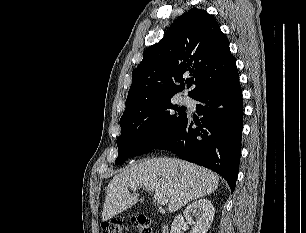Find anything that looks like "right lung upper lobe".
<instances>
[{"mask_svg": "<svg viewBox=\"0 0 306 233\" xmlns=\"http://www.w3.org/2000/svg\"><path fill=\"white\" fill-rule=\"evenodd\" d=\"M236 71L229 41L216 19L205 10L192 8L173 23L159 43L145 50L132 72L123 116L171 99L184 89V77H194L189 96L196 100Z\"/></svg>", "mask_w": 306, "mask_h": 233, "instance_id": "cb5924a9", "label": "right lung upper lobe"}]
</instances>
